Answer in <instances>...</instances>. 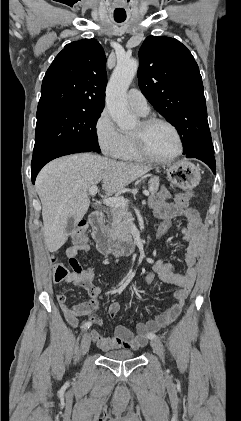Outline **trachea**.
Wrapping results in <instances>:
<instances>
[{
	"instance_id": "3493384b",
	"label": "trachea",
	"mask_w": 241,
	"mask_h": 421,
	"mask_svg": "<svg viewBox=\"0 0 241 421\" xmlns=\"http://www.w3.org/2000/svg\"><path fill=\"white\" fill-rule=\"evenodd\" d=\"M116 22H123L124 19H115Z\"/></svg>"
}]
</instances>
